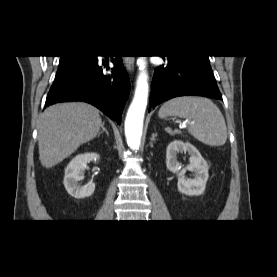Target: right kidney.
<instances>
[{"label": "right kidney", "instance_id": "1", "mask_svg": "<svg viewBox=\"0 0 277 277\" xmlns=\"http://www.w3.org/2000/svg\"><path fill=\"white\" fill-rule=\"evenodd\" d=\"M100 159L97 153L79 154L73 158L65 169L63 184L67 192L76 199L91 196L95 191V184L90 181L84 186L79 181L84 179V170L89 162H96Z\"/></svg>", "mask_w": 277, "mask_h": 277}]
</instances>
